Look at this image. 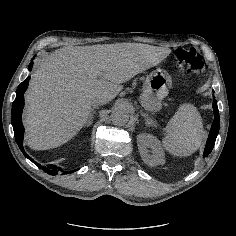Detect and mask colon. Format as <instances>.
I'll return each mask as SVG.
<instances>
[{"instance_id": "5ec220e1", "label": "colon", "mask_w": 236, "mask_h": 236, "mask_svg": "<svg viewBox=\"0 0 236 236\" xmlns=\"http://www.w3.org/2000/svg\"><path fill=\"white\" fill-rule=\"evenodd\" d=\"M176 64L186 73L205 78L207 67L197 50L193 47L179 48L175 52Z\"/></svg>"}]
</instances>
